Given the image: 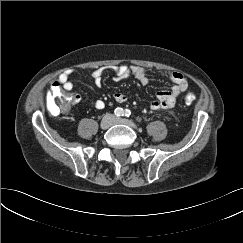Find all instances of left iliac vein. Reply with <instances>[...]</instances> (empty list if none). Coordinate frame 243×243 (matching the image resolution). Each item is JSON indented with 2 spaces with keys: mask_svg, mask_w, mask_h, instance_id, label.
I'll return each mask as SVG.
<instances>
[{
  "mask_svg": "<svg viewBox=\"0 0 243 243\" xmlns=\"http://www.w3.org/2000/svg\"><path fill=\"white\" fill-rule=\"evenodd\" d=\"M113 124H124V125L130 126L133 129H137V125L134 122H132L131 120H128V119L114 118Z\"/></svg>",
  "mask_w": 243,
  "mask_h": 243,
  "instance_id": "1",
  "label": "left iliac vein"
}]
</instances>
